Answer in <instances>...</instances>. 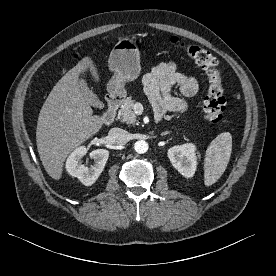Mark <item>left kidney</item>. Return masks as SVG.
<instances>
[{
	"mask_svg": "<svg viewBox=\"0 0 276 276\" xmlns=\"http://www.w3.org/2000/svg\"><path fill=\"white\" fill-rule=\"evenodd\" d=\"M168 157L172 166L184 177L190 178L194 175L197 167L196 146L186 143L171 147Z\"/></svg>",
	"mask_w": 276,
	"mask_h": 276,
	"instance_id": "left-kidney-1",
	"label": "left kidney"
}]
</instances>
